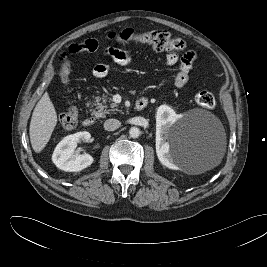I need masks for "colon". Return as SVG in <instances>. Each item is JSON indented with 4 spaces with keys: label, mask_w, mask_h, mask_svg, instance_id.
Listing matches in <instances>:
<instances>
[{
    "label": "colon",
    "mask_w": 267,
    "mask_h": 267,
    "mask_svg": "<svg viewBox=\"0 0 267 267\" xmlns=\"http://www.w3.org/2000/svg\"><path fill=\"white\" fill-rule=\"evenodd\" d=\"M111 39L118 42L137 41L152 46L157 51H167L176 54L185 48V43L180 38L172 37L167 31L154 30L144 33H136L126 29L119 33H111ZM70 74L69 61L64 62L60 70V79L63 84L68 83ZM196 103L205 109L213 108L216 104L214 95L209 91H200L195 96ZM61 127L72 130L78 123V111L75 106H70L59 119Z\"/></svg>",
    "instance_id": "5ec220e1"
}]
</instances>
